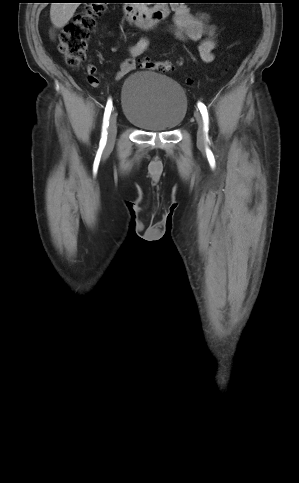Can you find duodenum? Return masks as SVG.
<instances>
[{"label":"duodenum","instance_id":"duodenum-1","mask_svg":"<svg viewBox=\"0 0 299 483\" xmlns=\"http://www.w3.org/2000/svg\"><path fill=\"white\" fill-rule=\"evenodd\" d=\"M170 12V6L160 1L152 7H141L135 1H128L124 8L127 21L142 28H151L158 21L165 19Z\"/></svg>","mask_w":299,"mask_h":483}]
</instances>
